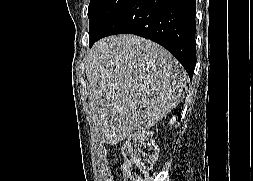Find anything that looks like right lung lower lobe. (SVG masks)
<instances>
[{"mask_svg": "<svg viewBox=\"0 0 253 181\" xmlns=\"http://www.w3.org/2000/svg\"><path fill=\"white\" fill-rule=\"evenodd\" d=\"M195 13L196 0H131L100 33L89 35V45L113 34H135L169 50L191 79L196 65Z\"/></svg>", "mask_w": 253, "mask_h": 181, "instance_id": "obj_1", "label": "right lung lower lobe"}]
</instances>
